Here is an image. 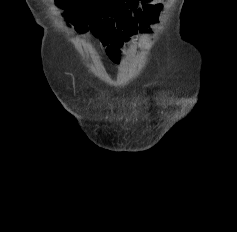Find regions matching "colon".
Masks as SVG:
<instances>
[{
    "label": "colon",
    "instance_id": "obj_1",
    "mask_svg": "<svg viewBox=\"0 0 237 232\" xmlns=\"http://www.w3.org/2000/svg\"><path fill=\"white\" fill-rule=\"evenodd\" d=\"M78 31H98L107 19L132 11L145 0H56Z\"/></svg>",
    "mask_w": 237,
    "mask_h": 232
}]
</instances>
